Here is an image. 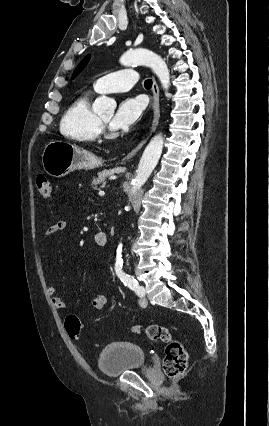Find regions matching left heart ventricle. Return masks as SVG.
Masks as SVG:
<instances>
[{
  "instance_id": "1",
  "label": "left heart ventricle",
  "mask_w": 269,
  "mask_h": 426,
  "mask_svg": "<svg viewBox=\"0 0 269 426\" xmlns=\"http://www.w3.org/2000/svg\"><path fill=\"white\" fill-rule=\"evenodd\" d=\"M101 119L106 122L109 123L111 120V115H106V116H102Z\"/></svg>"
}]
</instances>
